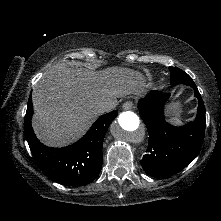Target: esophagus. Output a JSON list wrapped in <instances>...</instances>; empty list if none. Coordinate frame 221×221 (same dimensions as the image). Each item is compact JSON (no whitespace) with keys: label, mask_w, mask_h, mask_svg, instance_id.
<instances>
[{"label":"esophagus","mask_w":221,"mask_h":221,"mask_svg":"<svg viewBox=\"0 0 221 221\" xmlns=\"http://www.w3.org/2000/svg\"><path fill=\"white\" fill-rule=\"evenodd\" d=\"M122 107H123L124 110H130L133 107V102L132 101H126V102H124Z\"/></svg>","instance_id":"34e87169"}]
</instances>
